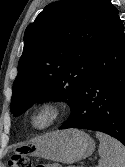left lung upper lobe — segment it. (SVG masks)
<instances>
[{"instance_id":"1","label":"left lung upper lobe","mask_w":125,"mask_h":167,"mask_svg":"<svg viewBox=\"0 0 125 167\" xmlns=\"http://www.w3.org/2000/svg\"><path fill=\"white\" fill-rule=\"evenodd\" d=\"M118 17L110 0H60L47 5L24 34L10 110L35 102L73 105L101 41Z\"/></svg>"}]
</instances>
